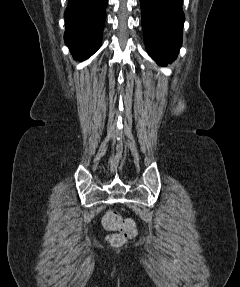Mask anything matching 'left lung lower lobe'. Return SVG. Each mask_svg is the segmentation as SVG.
<instances>
[{"label":"left lung lower lobe","instance_id":"0a47b994","mask_svg":"<svg viewBox=\"0 0 240 287\" xmlns=\"http://www.w3.org/2000/svg\"><path fill=\"white\" fill-rule=\"evenodd\" d=\"M147 52L158 63L172 62L182 44V0H140Z\"/></svg>","mask_w":240,"mask_h":287}]
</instances>
